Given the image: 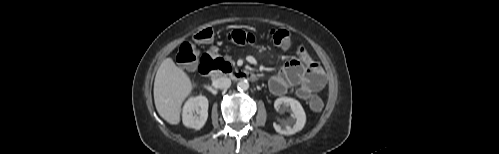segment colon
<instances>
[{
    "label": "colon",
    "mask_w": 499,
    "mask_h": 154,
    "mask_svg": "<svg viewBox=\"0 0 499 154\" xmlns=\"http://www.w3.org/2000/svg\"><path fill=\"white\" fill-rule=\"evenodd\" d=\"M213 36V31L210 28H205L197 32L192 40L185 41L180 44L177 53V61L179 64L186 68H193L197 63V55L195 51V44L204 42ZM269 36L273 43L282 49H288L293 44V38L290 32L283 29L273 28L269 32ZM210 65L218 70H227L230 65L220 58H210ZM309 106L313 111H321L323 108V101L318 96H312L309 101Z\"/></svg>",
    "instance_id": "obj_1"
}]
</instances>
